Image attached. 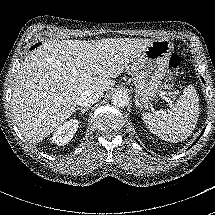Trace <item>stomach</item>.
Wrapping results in <instances>:
<instances>
[{
    "label": "stomach",
    "instance_id": "1",
    "mask_svg": "<svg viewBox=\"0 0 215 215\" xmlns=\"http://www.w3.org/2000/svg\"><path fill=\"white\" fill-rule=\"evenodd\" d=\"M173 51L169 40L156 39L132 63L134 91L142 106H148L159 95Z\"/></svg>",
    "mask_w": 215,
    "mask_h": 215
}]
</instances>
